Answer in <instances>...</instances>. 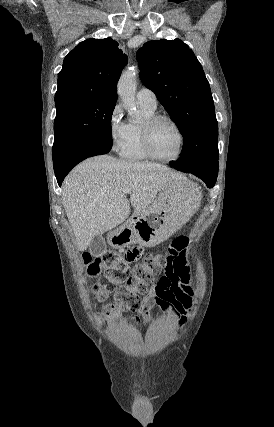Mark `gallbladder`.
<instances>
[{
  "instance_id": "bac80fb5",
  "label": "gallbladder",
  "mask_w": 274,
  "mask_h": 427,
  "mask_svg": "<svg viewBox=\"0 0 274 427\" xmlns=\"http://www.w3.org/2000/svg\"><path fill=\"white\" fill-rule=\"evenodd\" d=\"M91 255L94 257H99V255H103L106 251V243L104 237L102 235H95L93 237L90 245H89Z\"/></svg>"
}]
</instances>
